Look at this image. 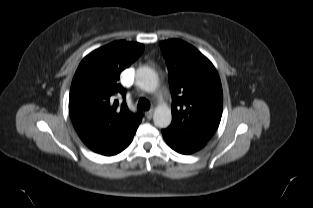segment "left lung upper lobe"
Instances as JSON below:
<instances>
[{
  "label": "left lung upper lobe",
  "mask_w": 313,
  "mask_h": 208,
  "mask_svg": "<svg viewBox=\"0 0 313 208\" xmlns=\"http://www.w3.org/2000/svg\"><path fill=\"white\" fill-rule=\"evenodd\" d=\"M169 71L172 122L165 129L179 138L206 143L221 120L223 93L213 64L192 45L160 42Z\"/></svg>",
  "instance_id": "1"
}]
</instances>
